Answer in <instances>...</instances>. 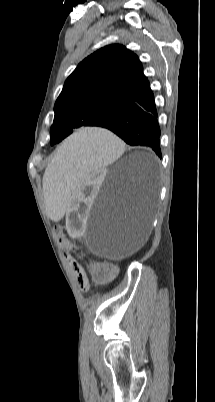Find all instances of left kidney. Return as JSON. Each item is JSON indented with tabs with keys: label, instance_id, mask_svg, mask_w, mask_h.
I'll return each instance as SVG.
<instances>
[{
	"label": "left kidney",
	"instance_id": "5707ae66",
	"mask_svg": "<svg viewBox=\"0 0 215 402\" xmlns=\"http://www.w3.org/2000/svg\"><path fill=\"white\" fill-rule=\"evenodd\" d=\"M107 172L105 169H98L89 178L84 179V184H80L79 191L72 193V203L69 204L67 231L71 240H83L85 238V214L89 211L93 200L100 193V181L105 178Z\"/></svg>",
	"mask_w": 215,
	"mask_h": 402
}]
</instances>
